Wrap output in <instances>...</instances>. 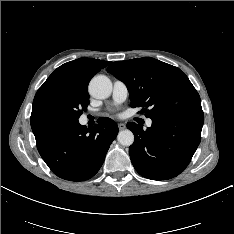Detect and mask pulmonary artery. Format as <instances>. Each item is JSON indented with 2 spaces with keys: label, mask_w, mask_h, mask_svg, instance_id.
Instances as JSON below:
<instances>
[{
  "label": "pulmonary artery",
  "mask_w": 234,
  "mask_h": 234,
  "mask_svg": "<svg viewBox=\"0 0 234 234\" xmlns=\"http://www.w3.org/2000/svg\"><path fill=\"white\" fill-rule=\"evenodd\" d=\"M128 97V88L127 85L121 80H115L113 83L112 98L114 103L120 104L124 102ZM147 126L152 125V120L148 119L146 121Z\"/></svg>",
  "instance_id": "e3ab8cb5"
}]
</instances>
